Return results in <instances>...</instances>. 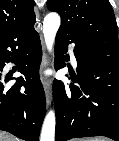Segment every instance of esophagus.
Instances as JSON below:
<instances>
[{
    "mask_svg": "<svg viewBox=\"0 0 119 141\" xmlns=\"http://www.w3.org/2000/svg\"><path fill=\"white\" fill-rule=\"evenodd\" d=\"M41 41H42V45H43V48H44V42H43L42 36H41ZM47 66H48V57H47V54L44 50L41 65H40L41 72H43ZM41 81H42V84H43V87H44L47 105H50V102H51V81H50L49 78H47L44 75L41 76Z\"/></svg>",
    "mask_w": 119,
    "mask_h": 141,
    "instance_id": "esophagus-1",
    "label": "esophagus"
}]
</instances>
